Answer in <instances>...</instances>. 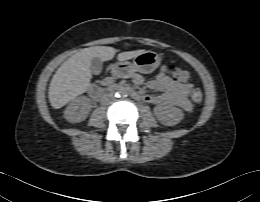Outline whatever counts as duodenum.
I'll return each instance as SVG.
<instances>
[{
    "mask_svg": "<svg viewBox=\"0 0 260 202\" xmlns=\"http://www.w3.org/2000/svg\"><path fill=\"white\" fill-rule=\"evenodd\" d=\"M117 90L122 91V92H126L128 94H130L133 98L136 99H143V95L137 93L136 91H134L133 89L129 88V87H117ZM89 94L90 96H92L93 98H99L102 95V92L99 91L97 88L95 87H90L89 88Z\"/></svg>",
    "mask_w": 260,
    "mask_h": 202,
    "instance_id": "410a0bca",
    "label": "duodenum"
}]
</instances>
